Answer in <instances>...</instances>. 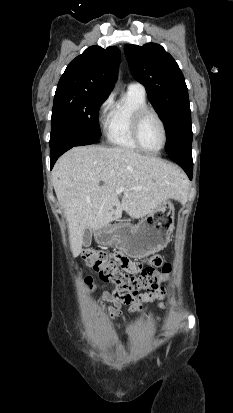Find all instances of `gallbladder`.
<instances>
[{
    "label": "gallbladder",
    "mask_w": 233,
    "mask_h": 413,
    "mask_svg": "<svg viewBox=\"0 0 233 413\" xmlns=\"http://www.w3.org/2000/svg\"><path fill=\"white\" fill-rule=\"evenodd\" d=\"M92 240V232L90 229H86L83 235V245L85 247H89L91 245Z\"/></svg>",
    "instance_id": "obj_1"
}]
</instances>
